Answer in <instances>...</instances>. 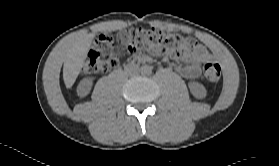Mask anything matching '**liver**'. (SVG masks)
<instances>
[{"label": "liver", "mask_w": 279, "mask_h": 166, "mask_svg": "<svg viewBox=\"0 0 279 166\" xmlns=\"http://www.w3.org/2000/svg\"><path fill=\"white\" fill-rule=\"evenodd\" d=\"M94 37V33L78 37L67 50L63 65V79L67 88L73 86L76 78L81 72Z\"/></svg>", "instance_id": "6515ba94"}]
</instances>
